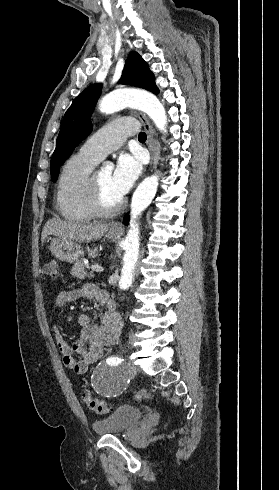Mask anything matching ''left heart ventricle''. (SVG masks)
I'll return each mask as SVG.
<instances>
[{
    "instance_id": "b2bd125f",
    "label": "left heart ventricle",
    "mask_w": 279,
    "mask_h": 490,
    "mask_svg": "<svg viewBox=\"0 0 279 490\" xmlns=\"http://www.w3.org/2000/svg\"><path fill=\"white\" fill-rule=\"evenodd\" d=\"M111 175V172H99L96 174V178L102 187L103 198L108 204H114L119 200L113 193Z\"/></svg>"
}]
</instances>
